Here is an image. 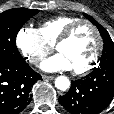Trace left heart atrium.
I'll use <instances>...</instances> for the list:
<instances>
[{
	"label": "left heart atrium",
	"mask_w": 114,
	"mask_h": 114,
	"mask_svg": "<svg viewBox=\"0 0 114 114\" xmlns=\"http://www.w3.org/2000/svg\"><path fill=\"white\" fill-rule=\"evenodd\" d=\"M41 68L47 72L72 70L69 60L61 53H58L42 62Z\"/></svg>",
	"instance_id": "obj_1"
}]
</instances>
